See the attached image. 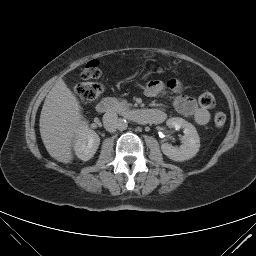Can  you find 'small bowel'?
Listing matches in <instances>:
<instances>
[{
	"label": "small bowel",
	"mask_w": 256,
	"mask_h": 256,
	"mask_svg": "<svg viewBox=\"0 0 256 256\" xmlns=\"http://www.w3.org/2000/svg\"><path fill=\"white\" fill-rule=\"evenodd\" d=\"M167 86L174 90L177 95L173 98V106L175 110L184 116H192L198 125H206L210 121V113L207 109L198 105L195 99L190 96L182 94V86L176 80H170ZM165 90V83L160 80H151L147 83L144 93L148 97H156ZM159 112L163 120L165 118L163 112Z\"/></svg>",
	"instance_id": "obj_1"
}]
</instances>
